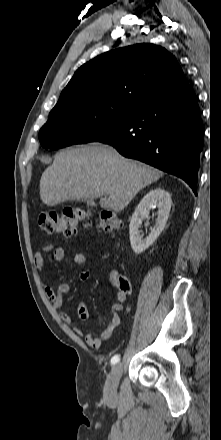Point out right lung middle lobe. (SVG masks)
Segmentation results:
<instances>
[{"instance_id":"dd1d6c3e","label":"right lung middle lobe","mask_w":221,"mask_h":440,"mask_svg":"<svg viewBox=\"0 0 221 440\" xmlns=\"http://www.w3.org/2000/svg\"><path fill=\"white\" fill-rule=\"evenodd\" d=\"M135 109L113 102L75 103L53 109L40 129V143L55 150L95 142L120 126Z\"/></svg>"}]
</instances>
